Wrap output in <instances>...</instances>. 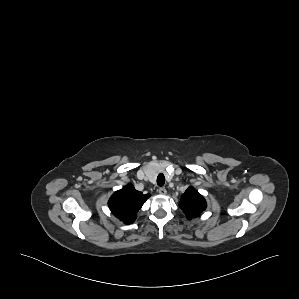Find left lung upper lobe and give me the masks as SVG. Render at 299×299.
<instances>
[{
	"label": "left lung upper lobe",
	"instance_id": "1",
	"mask_svg": "<svg viewBox=\"0 0 299 299\" xmlns=\"http://www.w3.org/2000/svg\"><path fill=\"white\" fill-rule=\"evenodd\" d=\"M180 208L188 219L197 217L206 209V201L198 191L190 186L181 196Z\"/></svg>",
	"mask_w": 299,
	"mask_h": 299
}]
</instances>
